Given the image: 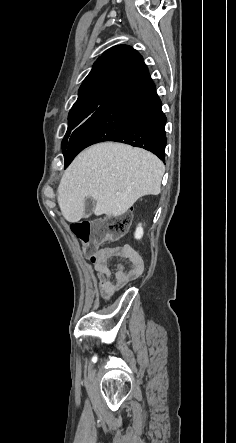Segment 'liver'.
<instances>
[{"instance_id": "obj_1", "label": "liver", "mask_w": 236, "mask_h": 443, "mask_svg": "<svg viewBox=\"0 0 236 443\" xmlns=\"http://www.w3.org/2000/svg\"><path fill=\"white\" fill-rule=\"evenodd\" d=\"M164 172L163 162L146 150L114 142L96 144L82 151L64 172L58 204L68 222L83 218L88 197L96 202V216H121L140 197L161 192Z\"/></svg>"}]
</instances>
